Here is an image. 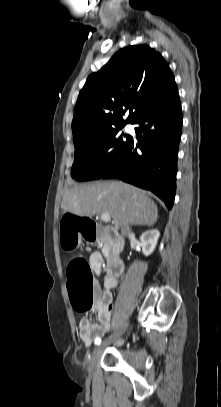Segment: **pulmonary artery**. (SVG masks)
Here are the masks:
<instances>
[{"label": "pulmonary artery", "mask_w": 221, "mask_h": 407, "mask_svg": "<svg viewBox=\"0 0 221 407\" xmlns=\"http://www.w3.org/2000/svg\"><path fill=\"white\" fill-rule=\"evenodd\" d=\"M127 129L130 130V129H131V126H127Z\"/></svg>", "instance_id": "pulmonary-artery-1"}]
</instances>
